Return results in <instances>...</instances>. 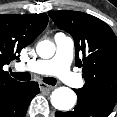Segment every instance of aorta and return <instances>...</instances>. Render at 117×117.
I'll return each instance as SVG.
<instances>
[{
  "instance_id": "1",
  "label": "aorta",
  "mask_w": 117,
  "mask_h": 117,
  "mask_svg": "<svg viewBox=\"0 0 117 117\" xmlns=\"http://www.w3.org/2000/svg\"><path fill=\"white\" fill-rule=\"evenodd\" d=\"M36 52L41 58H51L55 53V44L50 40L40 41L36 46ZM50 98L53 107L59 111L71 110L77 101L75 92L68 87L56 88Z\"/></svg>"
}]
</instances>
